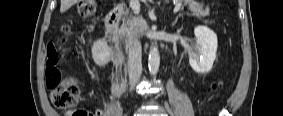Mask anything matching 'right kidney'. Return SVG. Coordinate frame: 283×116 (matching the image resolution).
<instances>
[{"instance_id":"ca27d5eb","label":"right kidney","mask_w":283,"mask_h":116,"mask_svg":"<svg viewBox=\"0 0 283 116\" xmlns=\"http://www.w3.org/2000/svg\"><path fill=\"white\" fill-rule=\"evenodd\" d=\"M92 57L98 66H104L113 57V51L104 39H99L93 43Z\"/></svg>"}]
</instances>
